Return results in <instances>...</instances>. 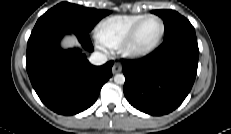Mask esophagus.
I'll list each match as a JSON object with an SVG mask.
<instances>
[{
    "instance_id": "1",
    "label": "esophagus",
    "mask_w": 231,
    "mask_h": 134,
    "mask_svg": "<svg viewBox=\"0 0 231 134\" xmlns=\"http://www.w3.org/2000/svg\"><path fill=\"white\" fill-rule=\"evenodd\" d=\"M122 70V65L118 62L114 63L113 67H112V72L113 74L119 73Z\"/></svg>"
}]
</instances>
